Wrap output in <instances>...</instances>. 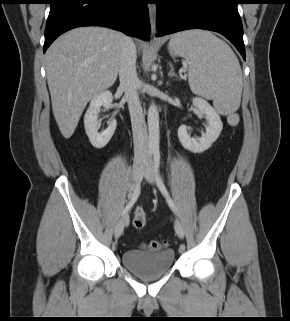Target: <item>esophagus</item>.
<instances>
[{
    "mask_svg": "<svg viewBox=\"0 0 290 321\" xmlns=\"http://www.w3.org/2000/svg\"><path fill=\"white\" fill-rule=\"evenodd\" d=\"M148 10H149V18H150V24H151V33H152V36H154L156 31V5L149 4Z\"/></svg>",
    "mask_w": 290,
    "mask_h": 321,
    "instance_id": "obj_1",
    "label": "esophagus"
}]
</instances>
